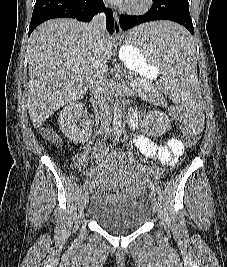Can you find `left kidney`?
<instances>
[{"instance_id": "1", "label": "left kidney", "mask_w": 227, "mask_h": 267, "mask_svg": "<svg viewBox=\"0 0 227 267\" xmlns=\"http://www.w3.org/2000/svg\"><path fill=\"white\" fill-rule=\"evenodd\" d=\"M144 124L146 127H151V129L148 131L150 135L160 136L169 129L170 120L163 112L150 111L146 115Z\"/></svg>"}]
</instances>
